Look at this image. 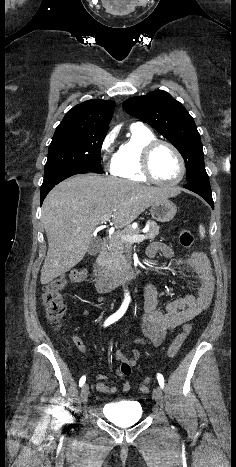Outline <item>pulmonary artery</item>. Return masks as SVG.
<instances>
[{
    "label": "pulmonary artery",
    "mask_w": 236,
    "mask_h": 467,
    "mask_svg": "<svg viewBox=\"0 0 236 467\" xmlns=\"http://www.w3.org/2000/svg\"><path fill=\"white\" fill-rule=\"evenodd\" d=\"M135 125H142L140 122L134 123Z\"/></svg>",
    "instance_id": "1"
}]
</instances>
